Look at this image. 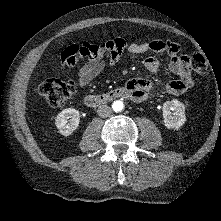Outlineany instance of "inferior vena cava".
I'll list each match as a JSON object with an SVG mask.
<instances>
[{"label":"inferior vena cava","mask_w":221,"mask_h":221,"mask_svg":"<svg viewBox=\"0 0 221 221\" xmlns=\"http://www.w3.org/2000/svg\"><path fill=\"white\" fill-rule=\"evenodd\" d=\"M111 113L112 109L108 105H101L97 109V114L103 118L108 117Z\"/></svg>","instance_id":"602c4592"}]
</instances>
